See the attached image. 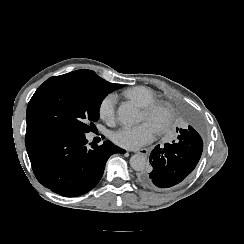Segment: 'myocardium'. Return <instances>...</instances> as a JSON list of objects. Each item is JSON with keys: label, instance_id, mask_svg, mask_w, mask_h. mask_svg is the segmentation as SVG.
I'll use <instances>...</instances> for the list:
<instances>
[{"label": "myocardium", "instance_id": "f54148a6", "mask_svg": "<svg viewBox=\"0 0 244 244\" xmlns=\"http://www.w3.org/2000/svg\"><path fill=\"white\" fill-rule=\"evenodd\" d=\"M143 111L145 113H154V112H158V111H162L165 112V114L168 117V120L163 122L160 126H158L156 128V130L160 133V134H164L166 132H168L172 125H173V115L170 109H167V107H163L162 104H158V103H154L148 106H145L143 108Z\"/></svg>", "mask_w": 244, "mask_h": 244}]
</instances>
